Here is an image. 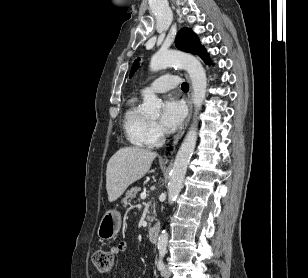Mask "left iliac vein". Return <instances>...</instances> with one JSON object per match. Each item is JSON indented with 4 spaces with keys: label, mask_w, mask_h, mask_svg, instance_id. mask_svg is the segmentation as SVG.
<instances>
[{
    "label": "left iliac vein",
    "mask_w": 308,
    "mask_h": 278,
    "mask_svg": "<svg viewBox=\"0 0 308 278\" xmlns=\"http://www.w3.org/2000/svg\"><path fill=\"white\" fill-rule=\"evenodd\" d=\"M161 275H162L164 278H169V277L171 276V271H170V269H169L168 266H165L164 269H162Z\"/></svg>",
    "instance_id": "left-iliac-vein-1"
}]
</instances>
